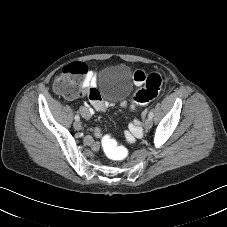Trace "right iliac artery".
Wrapping results in <instances>:
<instances>
[{
  "mask_svg": "<svg viewBox=\"0 0 227 227\" xmlns=\"http://www.w3.org/2000/svg\"><path fill=\"white\" fill-rule=\"evenodd\" d=\"M75 120H76V121H79V120H80L79 115H75Z\"/></svg>",
  "mask_w": 227,
  "mask_h": 227,
  "instance_id": "82829eb1",
  "label": "right iliac artery"
}]
</instances>
